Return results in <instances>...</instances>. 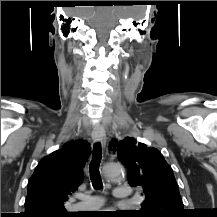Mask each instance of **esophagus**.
Masks as SVG:
<instances>
[{
	"label": "esophagus",
	"instance_id": "obj_1",
	"mask_svg": "<svg viewBox=\"0 0 217 217\" xmlns=\"http://www.w3.org/2000/svg\"><path fill=\"white\" fill-rule=\"evenodd\" d=\"M92 139L94 142L101 143L102 147H105L106 144V134L102 126L98 125L92 131Z\"/></svg>",
	"mask_w": 217,
	"mask_h": 217
}]
</instances>
